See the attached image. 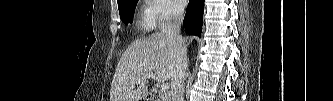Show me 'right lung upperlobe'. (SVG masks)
<instances>
[{
	"instance_id": "cb5924a9",
	"label": "right lung upper lobe",
	"mask_w": 333,
	"mask_h": 101,
	"mask_svg": "<svg viewBox=\"0 0 333 101\" xmlns=\"http://www.w3.org/2000/svg\"><path fill=\"white\" fill-rule=\"evenodd\" d=\"M121 1H123V0H117L118 3H120Z\"/></svg>"
}]
</instances>
